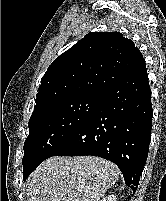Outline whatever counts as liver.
Instances as JSON below:
<instances>
[{"label": "liver", "mask_w": 166, "mask_h": 201, "mask_svg": "<svg viewBox=\"0 0 166 201\" xmlns=\"http://www.w3.org/2000/svg\"><path fill=\"white\" fill-rule=\"evenodd\" d=\"M118 178L117 166L99 157H51L27 179V198L28 201H101Z\"/></svg>", "instance_id": "1"}]
</instances>
